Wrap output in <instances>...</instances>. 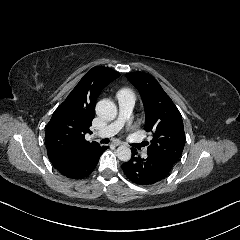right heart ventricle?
Listing matches in <instances>:
<instances>
[{"label":"right heart ventricle","mask_w":240,"mask_h":240,"mask_svg":"<svg viewBox=\"0 0 240 240\" xmlns=\"http://www.w3.org/2000/svg\"><path fill=\"white\" fill-rule=\"evenodd\" d=\"M123 97L130 98L132 101L134 100L133 93L128 89H123L118 93V98L120 99V101Z\"/></svg>","instance_id":"e07e8e85"}]
</instances>
